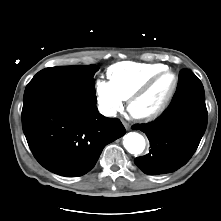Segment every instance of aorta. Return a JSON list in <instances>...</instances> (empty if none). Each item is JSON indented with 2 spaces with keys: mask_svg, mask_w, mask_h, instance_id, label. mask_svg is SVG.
I'll return each mask as SVG.
<instances>
[{
  "mask_svg": "<svg viewBox=\"0 0 221 221\" xmlns=\"http://www.w3.org/2000/svg\"><path fill=\"white\" fill-rule=\"evenodd\" d=\"M123 145L129 153L137 155L145 149V139L139 133L130 132L124 136Z\"/></svg>",
  "mask_w": 221,
  "mask_h": 221,
  "instance_id": "obj_1",
  "label": "aorta"
}]
</instances>
